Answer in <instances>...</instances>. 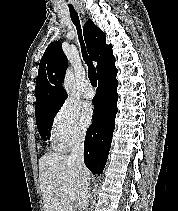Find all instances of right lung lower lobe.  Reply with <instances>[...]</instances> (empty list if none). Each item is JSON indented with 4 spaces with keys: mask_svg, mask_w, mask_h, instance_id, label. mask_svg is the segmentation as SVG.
I'll list each match as a JSON object with an SVG mask.
<instances>
[{
    "mask_svg": "<svg viewBox=\"0 0 178 211\" xmlns=\"http://www.w3.org/2000/svg\"><path fill=\"white\" fill-rule=\"evenodd\" d=\"M117 71L101 77L93 98L94 119L84 142V163L93 174L103 172L111 147L117 113Z\"/></svg>",
    "mask_w": 178,
    "mask_h": 211,
    "instance_id": "right-lung-lower-lobe-1",
    "label": "right lung lower lobe"
}]
</instances>
